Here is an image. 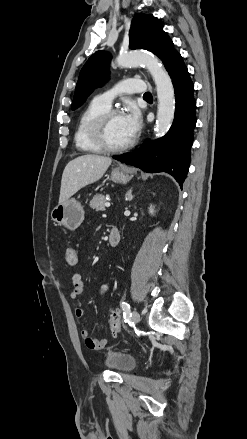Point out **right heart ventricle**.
<instances>
[{"instance_id": "obj_1", "label": "right heart ventricle", "mask_w": 247, "mask_h": 439, "mask_svg": "<svg viewBox=\"0 0 247 439\" xmlns=\"http://www.w3.org/2000/svg\"><path fill=\"white\" fill-rule=\"evenodd\" d=\"M109 109L110 107L105 106L96 99L91 101L84 109L79 117L74 133V142L78 150L85 153L102 152L92 139V127L95 120Z\"/></svg>"}]
</instances>
